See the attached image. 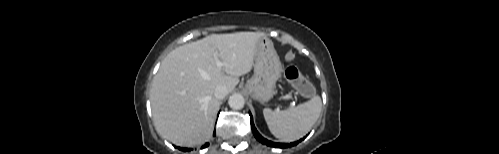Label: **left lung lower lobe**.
<instances>
[{
	"label": "left lung lower lobe",
	"mask_w": 499,
	"mask_h": 154,
	"mask_svg": "<svg viewBox=\"0 0 499 154\" xmlns=\"http://www.w3.org/2000/svg\"><path fill=\"white\" fill-rule=\"evenodd\" d=\"M250 117H251V128H252V131H253V134L255 136V138L257 140H259L261 143L265 144V145H268V146H271V147H277V148H286V147H289V146H294V145H297L299 142H301L303 139H300L299 141L297 142H293L291 144H282V143H275V142H271L265 138H263L259 133L258 131L256 130L255 126H254V123H253V119H252V115L250 113Z\"/></svg>",
	"instance_id": "left-lung-lower-lobe-1"
}]
</instances>
